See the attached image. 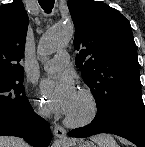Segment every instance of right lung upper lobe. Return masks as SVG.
<instances>
[{"label":"right lung upper lobe","instance_id":"1","mask_svg":"<svg viewBox=\"0 0 145 147\" xmlns=\"http://www.w3.org/2000/svg\"><path fill=\"white\" fill-rule=\"evenodd\" d=\"M28 15L21 0L0 7V79L23 75Z\"/></svg>","mask_w":145,"mask_h":147}]
</instances>
